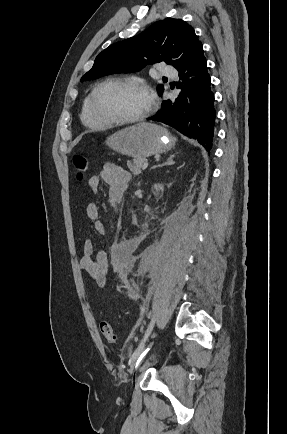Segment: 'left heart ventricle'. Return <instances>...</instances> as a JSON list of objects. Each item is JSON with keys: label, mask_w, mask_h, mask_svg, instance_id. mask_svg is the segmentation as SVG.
Wrapping results in <instances>:
<instances>
[{"label": "left heart ventricle", "mask_w": 287, "mask_h": 434, "mask_svg": "<svg viewBox=\"0 0 287 434\" xmlns=\"http://www.w3.org/2000/svg\"><path fill=\"white\" fill-rule=\"evenodd\" d=\"M149 102L148 94L140 88L109 85L98 94L96 107L103 116L127 119L143 113Z\"/></svg>", "instance_id": "b2bd125f"}]
</instances>
